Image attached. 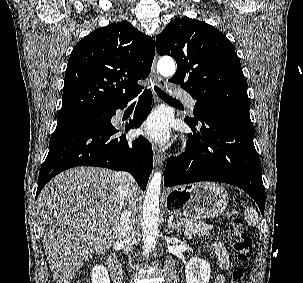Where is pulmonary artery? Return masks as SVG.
I'll list each match as a JSON object with an SVG mask.
<instances>
[{
	"label": "pulmonary artery",
	"mask_w": 303,
	"mask_h": 283,
	"mask_svg": "<svg viewBox=\"0 0 303 283\" xmlns=\"http://www.w3.org/2000/svg\"><path fill=\"white\" fill-rule=\"evenodd\" d=\"M173 94L175 97L182 99L190 109L193 110L195 108L196 100L186 91L176 89Z\"/></svg>",
	"instance_id": "e3ab8cb5"
}]
</instances>
